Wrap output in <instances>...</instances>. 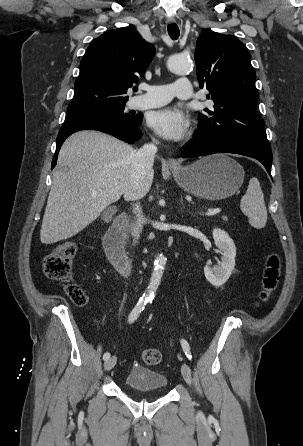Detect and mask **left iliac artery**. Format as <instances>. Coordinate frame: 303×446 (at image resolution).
I'll list each match as a JSON object with an SVG mask.
<instances>
[{
    "mask_svg": "<svg viewBox=\"0 0 303 446\" xmlns=\"http://www.w3.org/2000/svg\"><path fill=\"white\" fill-rule=\"evenodd\" d=\"M181 345H182L185 355L190 360L192 358V356H191L190 346H189L188 342L184 339H181Z\"/></svg>",
    "mask_w": 303,
    "mask_h": 446,
    "instance_id": "1",
    "label": "left iliac artery"
}]
</instances>
